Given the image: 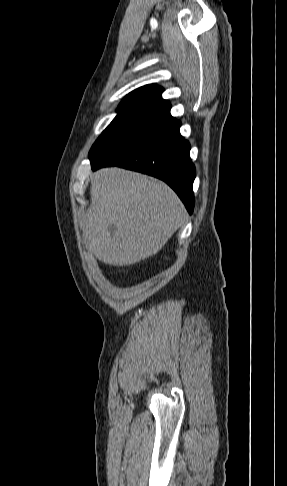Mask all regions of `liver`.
Here are the masks:
<instances>
[{"instance_id": "obj_1", "label": "liver", "mask_w": 287, "mask_h": 486, "mask_svg": "<svg viewBox=\"0 0 287 486\" xmlns=\"http://www.w3.org/2000/svg\"><path fill=\"white\" fill-rule=\"evenodd\" d=\"M90 194L81 228L92 253L109 265H133L153 256L186 216L164 182L117 167L95 172Z\"/></svg>"}]
</instances>
